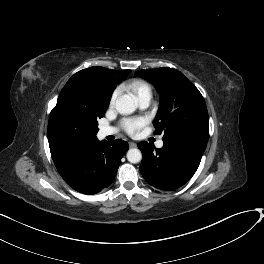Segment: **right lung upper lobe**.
Masks as SVG:
<instances>
[{"label": "right lung upper lobe", "instance_id": "right-lung-upper-lobe-1", "mask_svg": "<svg viewBox=\"0 0 264 264\" xmlns=\"http://www.w3.org/2000/svg\"><path fill=\"white\" fill-rule=\"evenodd\" d=\"M130 72L131 70L116 71L95 66L75 73L68 80L59 94L48 122V142L54 163L97 140V133L91 131L70 133L63 127L59 112L64 104L69 100H96L109 103L116 85Z\"/></svg>", "mask_w": 264, "mask_h": 264}]
</instances>
